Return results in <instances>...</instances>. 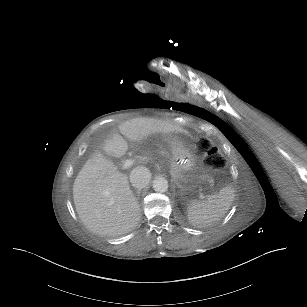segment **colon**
I'll return each mask as SVG.
<instances>
[{
	"instance_id": "5ec220e1",
	"label": "colon",
	"mask_w": 307,
	"mask_h": 307,
	"mask_svg": "<svg viewBox=\"0 0 307 307\" xmlns=\"http://www.w3.org/2000/svg\"><path fill=\"white\" fill-rule=\"evenodd\" d=\"M201 151L205 152V164L209 168L217 167L220 171H225L229 167V162L225 159L223 151L218 150L208 139H203L199 143Z\"/></svg>"
}]
</instances>
